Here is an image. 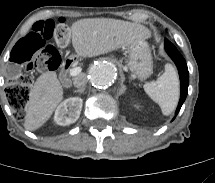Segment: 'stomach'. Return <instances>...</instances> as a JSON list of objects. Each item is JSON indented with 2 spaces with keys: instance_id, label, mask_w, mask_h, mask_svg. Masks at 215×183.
Here are the masks:
<instances>
[{
  "instance_id": "0dacf381",
  "label": "stomach",
  "mask_w": 215,
  "mask_h": 183,
  "mask_svg": "<svg viewBox=\"0 0 215 183\" xmlns=\"http://www.w3.org/2000/svg\"><path fill=\"white\" fill-rule=\"evenodd\" d=\"M127 65L140 79H145L151 75L153 61L149 45L145 41H140L128 47Z\"/></svg>"
}]
</instances>
